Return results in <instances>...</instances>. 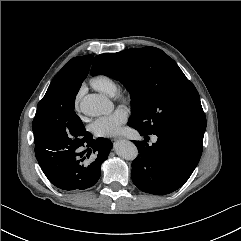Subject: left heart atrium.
I'll return each instance as SVG.
<instances>
[{"label": "left heart atrium", "mask_w": 241, "mask_h": 241, "mask_svg": "<svg viewBox=\"0 0 241 241\" xmlns=\"http://www.w3.org/2000/svg\"><path fill=\"white\" fill-rule=\"evenodd\" d=\"M127 119V113L123 109H117L111 114L97 118L91 124V131L96 136H114L121 130V126Z\"/></svg>", "instance_id": "obj_1"}]
</instances>
